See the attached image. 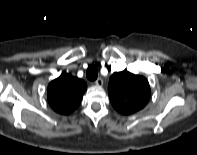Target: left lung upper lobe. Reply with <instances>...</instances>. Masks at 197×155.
Returning <instances> with one entry per match:
<instances>
[{
    "label": "left lung upper lobe",
    "mask_w": 197,
    "mask_h": 155,
    "mask_svg": "<svg viewBox=\"0 0 197 155\" xmlns=\"http://www.w3.org/2000/svg\"><path fill=\"white\" fill-rule=\"evenodd\" d=\"M108 93L113 107L119 113L129 115L147 104L151 90L145 77L124 70L110 77Z\"/></svg>",
    "instance_id": "1"
}]
</instances>
